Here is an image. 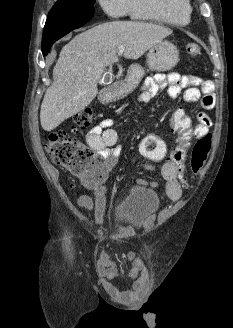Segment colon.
I'll list each match as a JSON object with an SVG mask.
<instances>
[{
	"label": "colon",
	"instance_id": "1",
	"mask_svg": "<svg viewBox=\"0 0 233 328\" xmlns=\"http://www.w3.org/2000/svg\"><path fill=\"white\" fill-rule=\"evenodd\" d=\"M186 51L191 56L200 53V45L191 42L187 44ZM94 119V113L86 108L73 117L74 133L88 129ZM170 125L177 134L178 142L169 151L170 160L181 172L185 170L188 160V145L193 137L194 127L191 119L183 110H176L170 116ZM212 146L211 135L207 134L195 142L190 157L189 166L194 174L200 172L205 165ZM45 148L51 161L69 170L86 183L96 182L103 178L104 168L97 160L92 149L77 141L71 134L62 131L50 132L45 140ZM141 154L152 161H160L168 155V149L163 140L154 134L147 135L140 144Z\"/></svg>",
	"mask_w": 233,
	"mask_h": 328
}]
</instances>
